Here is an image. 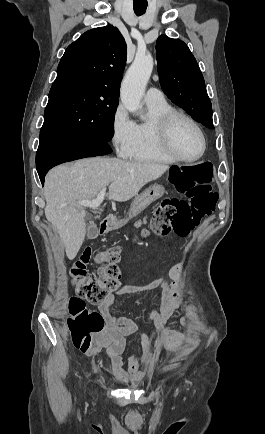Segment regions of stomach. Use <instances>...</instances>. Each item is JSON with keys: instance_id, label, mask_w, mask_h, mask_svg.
Instances as JSON below:
<instances>
[{"instance_id": "0dacf381", "label": "stomach", "mask_w": 265, "mask_h": 434, "mask_svg": "<svg viewBox=\"0 0 265 434\" xmlns=\"http://www.w3.org/2000/svg\"><path fill=\"white\" fill-rule=\"evenodd\" d=\"M165 190L163 186H160V184H154V186H150V188H147V190H144L140 196H137L135 198L131 208H130V216H136V214H139V212H142L144 208H147L149 204H152V202H155V200H158V198H162ZM114 230L118 231L120 230V225L116 224L114 225Z\"/></svg>"}]
</instances>
